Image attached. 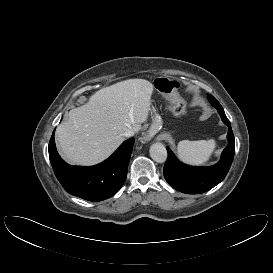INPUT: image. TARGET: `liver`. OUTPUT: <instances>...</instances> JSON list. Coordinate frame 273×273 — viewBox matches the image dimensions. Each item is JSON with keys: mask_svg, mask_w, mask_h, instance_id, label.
<instances>
[{"mask_svg": "<svg viewBox=\"0 0 273 273\" xmlns=\"http://www.w3.org/2000/svg\"><path fill=\"white\" fill-rule=\"evenodd\" d=\"M154 86L129 79L102 88L88 103L69 111L56 129L60 154L72 164L94 165L108 158L128 129L138 132L148 118Z\"/></svg>", "mask_w": 273, "mask_h": 273, "instance_id": "obj_1", "label": "liver"}]
</instances>
